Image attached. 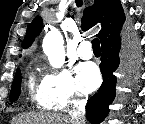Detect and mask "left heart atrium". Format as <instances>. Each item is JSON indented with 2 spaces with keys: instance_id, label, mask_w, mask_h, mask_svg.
Instances as JSON below:
<instances>
[{
  "instance_id": "obj_1",
  "label": "left heart atrium",
  "mask_w": 145,
  "mask_h": 124,
  "mask_svg": "<svg viewBox=\"0 0 145 124\" xmlns=\"http://www.w3.org/2000/svg\"><path fill=\"white\" fill-rule=\"evenodd\" d=\"M78 80L84 91H93L100 83V73L93 63H85L78 68Z\"/></svg>"
}]
</instances>
